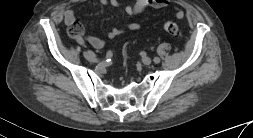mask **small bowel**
I'll list each match as a JSON object with an SVG mask.
<instances>
[{
    "mask_svg": "<svg viewBox=\"0 0 253 138\" xmlns=\"http://www.w3.org/2000/svg\"><path fill=\"white\" fill-rule=\"evenodd\" d=\"M101 4L107 5L110 4L112 6L118 7L121 5L120 0H99ZM170 5L169 0H134L131 5H127L125 7V12L126 15L132 19L136 15L143 13L145 10L148 8H153V9H161L168 7ZM174 16L178 19L184 18V11L180 9L179 7L174 8ZM76 20L75 16V11L73 9H68L64 13V21L67 25H71L74 23ZM141 25L137 22H129L126 25V30L119 29V28H112L109 30L107 33V39L108 40H113L116 37L126 34V33H131L140 30ZM78 42L83 44V39L81 37L77 38ZM88 43L95 49H101L104 47L106 40L102 39L98 36L95 35H90L87 38Z\"/></svg>",
    "mask_w": 253,
    "mask_h": 138,
    "instance_id": "obj_1",
    "label": "small bowel"
}]
</instances>
